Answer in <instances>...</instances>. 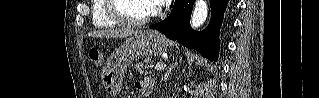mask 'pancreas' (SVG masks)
Masks as SVG:
<instances>
[{
    "instance_id": "obj_1",
    "label": "pancreas",
    "mask_w": 319,
    "mask_h": 98,
    "mask_svg": "<svg viewBox=\"0 0 319 98\" xmlns=\"http://www.w3.org/2000/svg\"><path fill=\"white\" fill-rule=\"evenodd\" d=\"M151 61L149 60H142L134 65V68L136 70H139L140 72H145L146 74L149 72V67L151 65Z\"/></svg>"
}]
</instances>
